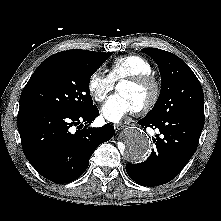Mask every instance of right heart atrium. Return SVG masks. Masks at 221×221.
Instances as JSON below:
<instances>
[{"mask_svg":"<svg viewBox=\"0 0 221 221\" xmlns=\"http://www.w3.org/2000/svg\"><path fill=\"white\" fill-rule=\"evenodd\" d=\"M115 83L108 74L101 70L94 71L87 83V89L92 98L97 102H102L114 89Z\"/></svg>","mask_w":221,"mask_h":221,"instance_id":"1","label":"right heart atrium"}]
</instances>
